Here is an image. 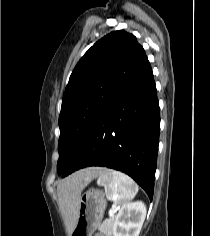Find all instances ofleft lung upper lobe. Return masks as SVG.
Here are the masks:
<instances>
[{"mask_svg":"<svg viewBox=\"0 0 210 236\" xmlns=\"http://www.w3.org/2000/svg\"><path fill=\"white\" fill-rule=\"evenodd\" d=\"M148 64L136 37L123 30L97 41L80 59L65 89L59 115V175L101 113Z\"/></svg>","mask_w":210,"mask_h":236,"instance_id":"5c2ea615","label":"left lung upper lobe"}]
</instances>
